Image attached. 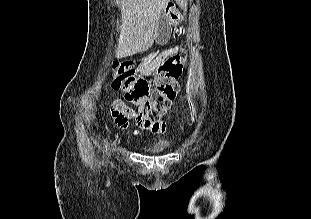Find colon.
I'll return each instance as SVG.
<instances>
[{
  "label": "colon",
  "mask_w": 311,
  "mask_h": 219,
  "mask_svg": "<svg viewBox=\"0 0 311 219\" xmlns=\"http://www.w3.org/2000/svg\"><path fill=\"white\" fill-rule=\"evenodd\" d=\"M188 61L178 55L168 57L157 69L152 80L154 90L150 93V80L137 77L129 60L114 61L111 65L113 88L126 93L128 102L140 105L141 116L157 121L170 107L176 97L183 71Z\"/></svg>",
  "instance_id": "1"
}]
</instances>
